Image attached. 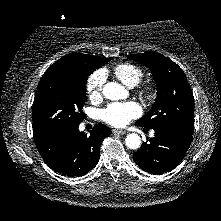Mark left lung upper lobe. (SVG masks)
I'll list each match as a JSON object with an SVG mask.
<instances>
[{"label":"left lung upper lobe","mask_w":221,"mask_h":221,"mask_svg":"<svg viewBox=\"0 0 221 221\" xmlns=\"http://www.w3.org/2000/svg\"><path fill=\"white\" fill-rule=\"evenodd\" d=\"M128 58L147 66L157 84L155 103L135 124L150 129L172 128L192 134L194 98L182 69L155 51L133 54Z\"/></svg>","instance_id":"5c2ea615"}]
</instances>
